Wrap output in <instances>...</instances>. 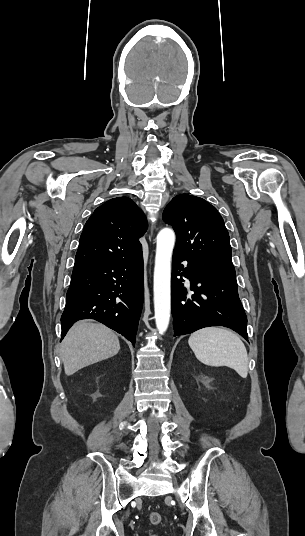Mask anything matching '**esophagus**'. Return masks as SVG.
Returning a JSON list of instances; mask_svg holds the SVG:
<instances>
[{
  "instance_id": "esophagus-1",
  "label": "esophagus",
  "mask_w": 305,
  "mask_h": 536,
  "mask_svg": "<svg viewBox=\"0 0 305 536\" xmlns=\"http://www.w3.org/2000/svg\"><path fill=\"white\" fill-rule=\"evenodd\" d=\"M153 233V226H152V230H151V234Z\"/></svg>"
}]
</instances>
